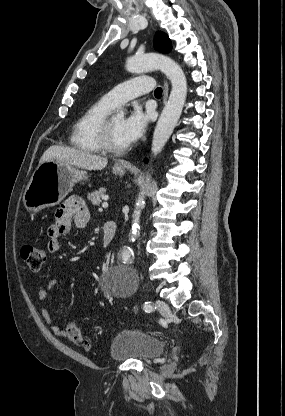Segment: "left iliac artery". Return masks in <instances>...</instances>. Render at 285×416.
Listing matches in <instances>:
<instances>
[{
    "mask_svg": "<svg viewBox=\"0 0 285 416\" xmlns=\"http://www.w3.org/2000/svg\"><path fill=\"white\" fill-rule=\"evenodd\" d=\"M143 309L145 310V312L150 313L154 310L152 303L150 301H146L143 305Z\"/></svg>",
    "mask_w": 285,
    "mask_h": 416,
    "instance_id": "44dca946",
    "label": "left iliac artery"
}]
</instances>
